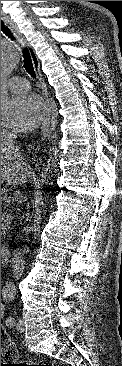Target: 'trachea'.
Returning a JSON list of instances; mask_svg holds the SVG:
<instances>
[{
  "label": "trachea",
  "instance_id": "trachea-1",
  "mask_svg": "<svg viewBox=\"0 0 122 366\" xmlns=\"http://www.w3.org/2000/svg\"><path fill=\"white\" fill-rule=\"evenodd\" d=\"M1 30L11 39H14L12 36V33L10 32V30L4 25V23L1 21ZM23 58H24V68L26 70V72L32 76L35 77L36 73H35V69L33 66V62L31 59V55L28 51L27 48L23 49Z\"/></svg>",
  "mask_w": 122,
  "mask_h": 366
}]
</instances>
